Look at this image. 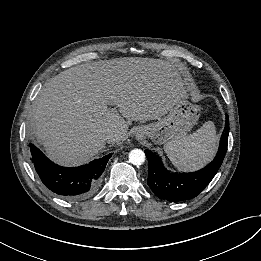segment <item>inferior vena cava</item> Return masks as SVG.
<instances>
[{
	"mask_svg": "<svg viewBox=\"0 0 261 261\" xmlns=\"http://www.w3.org/2000/svg\"><path fill=\"white\" fill-rule=\"evenodd\" d=\"M117 138H118V134L114 130L107 129L105 131V139L107 142L115 141L117 140Z\"/></svg>",
	"mask_w": 261,
	"mask_h": 261,
	"instance_id": "602c4592",
	"label": "inferior vena cava"
}]
</instances>
